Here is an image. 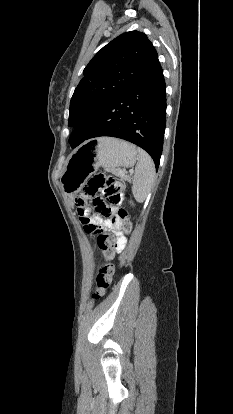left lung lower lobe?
<instances>
[{
	"label": "left lung lower lobe",
	"mask_w": 233,
	"mask_h": 414,
	"mask_svg": "<svg viewBox=\"0 0 233 414\" xmlns=\"http://www.w3.org/2000/svg\"><path fill=\"white\" fill-rule=\"evenodd\" d=\"M165 123L166 84L157 59L138 80L75 127L69 143L75 148L95 137L121 138L147 151L158 169Z\"/></svg>",
	"instance_id": "0a47b994"
}]
</instances>
